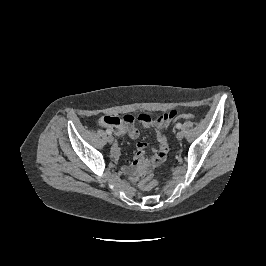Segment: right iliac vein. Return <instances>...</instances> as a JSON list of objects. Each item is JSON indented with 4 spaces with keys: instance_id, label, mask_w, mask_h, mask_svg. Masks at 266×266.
Returning a JSON list of instances; mask_svg holds the SVG:
<instances>
[{
    "instance_id": "63e3f726",
    "label": "right iliac vein",
    "mask_w": 266,
    "mask_h": 266,
    "mask_svg": "<svg viewBox=\"0 0 266 266\" xmlns=\"http://www.w3.org/2000/svg\"><path fill=\"white\" fill-rule=\"evenodd\" d=\"M107 141H108V143H113V141H114V138H113V136L112 135H109L108 137H107Z\"/></svg>"
}]
</instances>
